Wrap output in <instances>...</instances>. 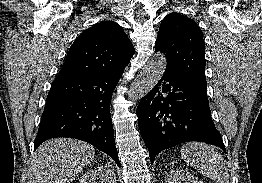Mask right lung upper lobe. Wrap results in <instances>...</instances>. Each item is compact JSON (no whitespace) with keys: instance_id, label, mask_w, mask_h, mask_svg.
Wrapping results in <instances>:
<instances>
[{"instance_id":"1","label":"right lung upper lobe","mask_w":262,"mask_h":183,"mask_svg":"<svg viewBox=\"0 0 262 183\" xmlns=\"http://www.w3.org/2000/svg\"><path fill=\"white\" fill-rule=\"evenodd\" d=\"M134 53V47L121 26L102 21L76 38L58 78L121 72Z\"/></svg>"}]
</instances>
